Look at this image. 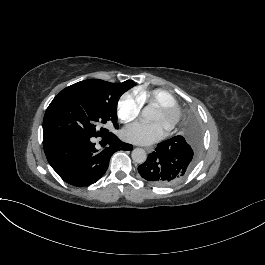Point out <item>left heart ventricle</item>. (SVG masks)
I'll list each match as a JSON object with an SVG mask.
<instances>
[{
	"mask_svg": "<svg viewBox=\"0 0 265 265\" xmlns=\"http://www.w3.org/2000/svg\"><path fill=\"white\" fill-rule=\"evenodd\" d=\"M153 121L154 122H161L164 125H166V120H165L164 115L162 113H160L157 109L155 111V115H154Z\"/></svg>",
	"mask_w": 265,
	"mask_h": 265,
	"instance_id": "1",
	"label": "left heart ventricle"
}]
</instances>
